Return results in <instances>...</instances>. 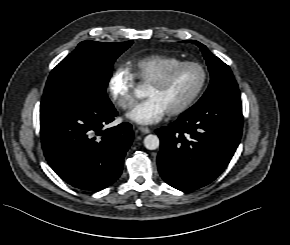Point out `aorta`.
<instances>
[{"label":"aorta","instance_id":"762f6f07","mask_svg":"<svg viewBox=\"0 0 290 245\" xmlns=\"http://www.w3.org/2000/svg\"><path fill=\"white\" fill-rule=\"evenodd\" d=\"M159 145H160V140L157 135L149 134L144 138V146L148 150H155L159 147Z\"/></svg>","mask_w":290,"mask_h":245}]
</instances>
